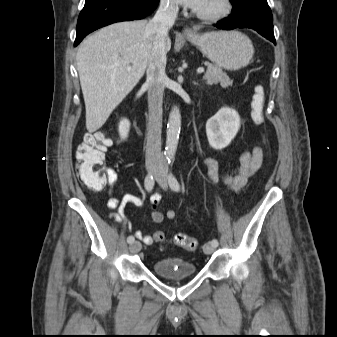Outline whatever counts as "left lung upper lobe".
I'll return each mask as SVG.
<instances>
[{"label": "left lung upper lobe", "instance_id": "1", "mask_svg": "<svg viewBox=\"0 0 337 337\" xmlns=\"http://www.w3.org/2000/svg\"><path fill=\"white\" fill-rule=\"evenodd\" d=\"M230 1L233 5L232 12H237L238 10L248 7L253 3L262 5L268 10H270L267 0H230Z\"/></svg>", "mask_w": 337, "mask_h": 337}]
</instances>
